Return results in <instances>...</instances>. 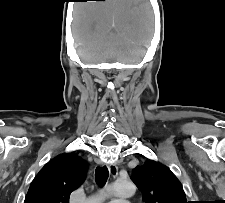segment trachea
Listing matches in <instances>:
<instances>
[{
  "mask_svg": "<svg viewBox=\"0 0 225 203\" xmlns=\"http://www.w3.org/2000/svg\"><path fill=\"white\" fill-rule=\"evenodd\" d=\"M109 171L106 166L98 167L95 170V180L99 187H103L107 182Z\"/></svg>",
  "mask_w": 225,
  "mask_h": 203,
  "instance_id": "3493384b",
  "label": "trachea"
}]
</instances>
